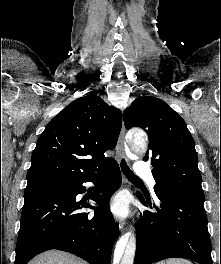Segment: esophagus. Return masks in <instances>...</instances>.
Listing matches in <instances>:
<instances>
[{
	"label": "esophagus",
	"instance_id": "esophagus-1",
	"mask_svg": "<svg viewBox=\"0 0 221 264\" xmlns=\"http://www.w3.org/2000/svg\"><path fill=\"white\" fill-rule=\"evenodd\" d=\"M125 126L124 124H122V128H121V132H120V136H119V140H118V146H117V160L121 161L123 156H124V152H125ZM119 229L121 232L124 231L125 229V222H120L119 223Z\"/></svg>",
	"mask_w": 221,
	"mask_h": 264
}]
</instances>
